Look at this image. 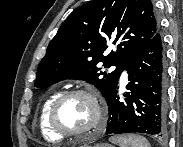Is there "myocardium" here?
I'll use <instances>...</instances> for the list:
<instances>
[{
    "mask_svg": "<svg viewBox=\"0 0 183 147\" xmlns=\"http://www.w3.org/2000/svg\"><path fill=\"white\" fill-rule=\"evenodd\" d=\"M84 96L86 97L92 104L93 110H94V119L92 123L81 129V130H68L64 128L58 121V110L61 106V104L72 96ZM105 117V112L102 106V103L100 102L98 96L90 90L77 88L65 91L61 93L52 103L49 113H48V122L50 127L53 131H55L57 134L66 136V137H73V136H81L86 133H89L96 129L101 122L103 121Z\"/></svg>",
    "mask_w": 183,
    "mask_h": 147,
    "instance_id": "myocardium-1",
    "label": "myocardium"
}]
</instances>
